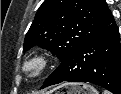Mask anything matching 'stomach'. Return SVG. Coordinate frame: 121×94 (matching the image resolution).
I'll return each instance as SVG.
<instances>
[{
  "label": "stomach",
  "mask_w": 121,
  "mask_h": 94,
  "mask_svg": "<svg viewBox=\"0 0 121 94\" xmlns=\"http://www.w3.org/2000/svg\"><path fill=\"white\" fill-rule=\"evenodd\" d=\"M46 94H98V92L88 84L63 83Z\"/></svg>",
  "instance_id": "1"
}]
</instances>
